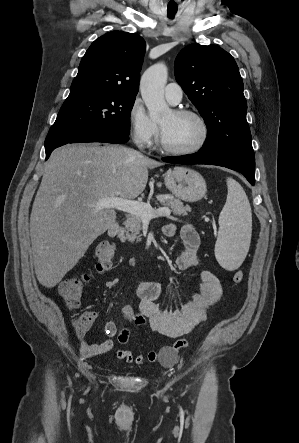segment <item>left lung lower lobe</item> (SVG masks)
<instances>
[{"label": "left lung lower lobe", "mask_w": 299, "mask_h": 443, "mask_svg": "<svg viewBox=\"0 0 299 443\" xmlns=\"http://www.w3.org/2000/svg\"><path fill=\"white\" fill-rule=\"evenodd\" d=\"M162 160L165 162L178 163V164H210V165L226 167L242 173L247 178V180L250 182L251 185L255 184L254 157L220 159L204 155L198 152L195 154H189L178 157H165Z\"/></svg>", "instance_id": "1"}]
</instances>
